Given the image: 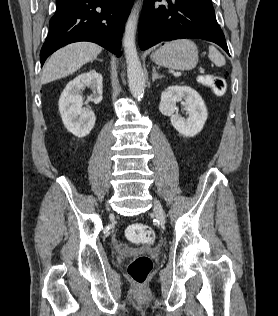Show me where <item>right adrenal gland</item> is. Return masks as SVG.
Returning <instances> with one entry per match:
<instances>
[{
	"mask_svg": "<svg viewBox=\"0 0 278 316\" xmlns=\"http://www.w3.org/2000/svg\"><path fill=\"white\" fill-rule=\"evenodd\" d=\"M98 61L103 62V60H102V59H98Z\"/></svg>",
	"mask_w": 278,
	"mask_h": 316,
	"instance_id": "right-adrenal-gland-1",
	"label": "right adrenal gland"
}]
</instances>
